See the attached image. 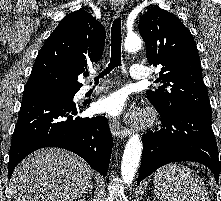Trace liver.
<instances>
[{
  "instance_id": "liver-1",
  "label": "liver",
  "mask_w": 221,
  "mask_h": 201,
  "mask_svg": "<svg viewBox=\"0 0 221 201\" xmlns=\"http://www.w3.org/2000/svg\"><path fill=\"white\" fill-rule=\"evenodd\" d=\"M93 171L76 154L60 148L39 149L14 170L15 201H75L92 186Z\"/></svg>"
}]
</instances>
